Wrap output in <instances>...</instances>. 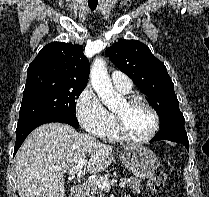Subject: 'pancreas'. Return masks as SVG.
Instances as JSON below:
<instances>
[{
	"label": "pancreas",
	"instance_id": "1",
	"mask_svg": "<svg viewBox=\"0 0 209 197\" xmlns=\"http://www.w3.org/2000/svg\"><path fill=\"white\" fill-rule=\"evenodd\" d=\"M101 178L108 180L107 176H103ZM129 186L133 190V193H140L141 192L142 185H141V182L139 179L131 177L130 181H129ZM84 190H85V194L88 197H95L96 195H97V197H103L102 190L93 182L87 183L84 186Z\"/></svg>",
	"mask_w": 209,
	"mask_h": 197
}]
</instances>
